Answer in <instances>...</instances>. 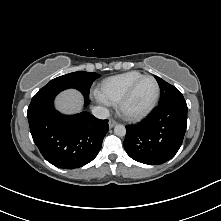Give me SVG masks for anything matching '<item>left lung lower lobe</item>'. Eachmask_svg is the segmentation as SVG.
<instances>
[{
    "label": "left lung lower lobe",
    "mask_w": 221,
    "mask_h": 221,
    "mask_svg": "<svg viewBox=\"0 0 221 221\" xmlns=\"http://www.w3.org/2000/svg\"><path fill=\"white\" fill-rule=\"evenodd\" d=\"M186 127L187 104L184 99L160 104L139 124L126 126L124 148L140 163H165L182 145Z\"/></svg>",
    "instance_id": "left-lung-lower-lobe-1"
}]
</instances>
